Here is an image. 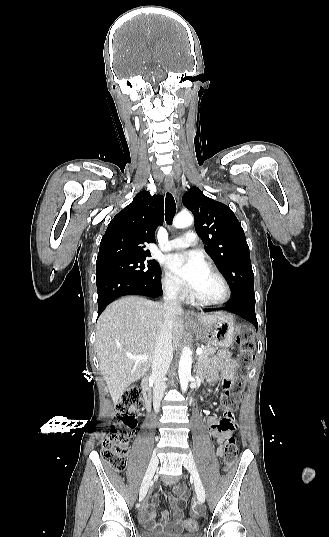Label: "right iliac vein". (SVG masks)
Listing matches in <instances>:
<instances>
[{"label":"right iliac vein","instance_id":"63e3f726","mask_svg":"<svg viewBox=\"0 0 329 537\" xmlns=\"http://www.w3.org/2000/svg\"><path fill=\"white\" fill-rule=\"evenodd\" d=\"M157 468H158V459L156 457V454L154 453L141 483L140 492H139L140 500H143L144 497L146 496L150 482Z\"/></svg>","mask_w":329,"mask_h":537}]
</instances>
